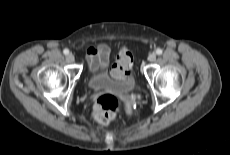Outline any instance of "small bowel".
I'll use <instances>...</instances> for the list:
<instances>
[{
	"label": "small bowel",
	"mask_w": 230,
	"mask_h": 155,
	"mask_svg": "<svg viewBox=\"0 0 230 155\" xmlns=\"http://www.w3.org/2000/svg\"><path fill=\"white\" fill-rule=\"evenodd\" d=\"M126 49H122L116 59V62L110 66V75L114 78H125L129 75L130 66L124 60ZM111 50L106 45H97L89 48L87 52L88 67L90 72L96 73L109 68Z\"/></svg>",
	"instance_id": "small-bowel-1"
}]
</instances>
